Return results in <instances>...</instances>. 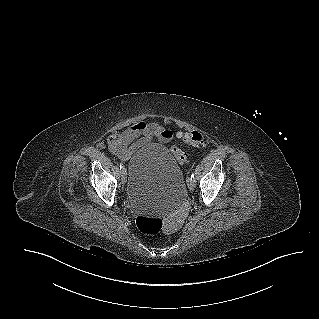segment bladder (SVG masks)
Segmentation results:
<instances>
[{
    "instance_id": "1",
    "label": "bladder",
    "mask_w": 319,
    "mask_h": 319,
    "mask_svg": "<svg viewBox=\"0 0 319 319\" xmlns=\"http://www.w3.org/2000/svg\"><path fill=\"white\" fill-rule=\"evenodd\" d=\"M127 199L141 213L165 214L184 198V175L162 144L148 143L129 160Z\"/></svg>"
}]
</instances>
